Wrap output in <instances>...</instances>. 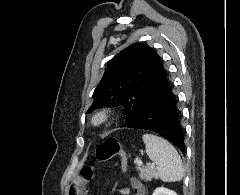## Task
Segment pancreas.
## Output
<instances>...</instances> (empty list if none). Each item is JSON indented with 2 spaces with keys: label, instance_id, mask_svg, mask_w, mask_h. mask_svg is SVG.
I'll return each instance as SVG.
<instances>
[{
  "label": "pancreas",
  "instance_id": "1",
  "mask_svg": "<svg viewBox=\"0 0 240 195\" xmlns=\"http://www.w3.org/2000/svg\"><path fill=\"white\" fill-rule=\"evenodd\" d=\"M137 169L140 171V179H145V181H152V177L158 179L157 169L152 167V165H142V167H137Z\"/></svg>",
  "mask_w": 240,
  "mask_h": 195
}]
</instances>
